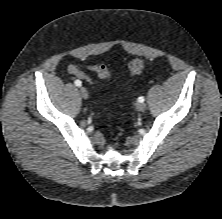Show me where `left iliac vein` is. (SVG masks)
Masks as SVG:
<instances>
[{"label":"left iliac vein","instance_id":"obj_1","mask_svg":"<svg viewBox=\"0 0 222 219\" xmlns=\"http://www.w3.org/2000/svg\"><path fill=\"white\" fill-rule=\"evenodd\" d=\"M146 104L144 103V102H138L137 104H136V109L138 110V111H140V112H143V111H145V109H146Z\"/></svg>","mask_w":222,"mask_h":219}]
</instances>
